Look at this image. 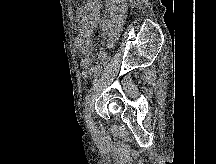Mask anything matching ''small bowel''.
Instances as JSON below:
<instances>
[{
	"instance_id": "small-bowel-1",
	"label": "small bowel",
	"mask_w": 216,
	"mask_h": 164,
	"mask_svg": "<svg viewBox=\"0 0 216 164\" xmlns=\"http://www.w3.org/2000/svg\"><path fill=\"white\" fill-rule=\"evenodd\" d=\"M107 9L110 13L109 19L101 17L100 0H86L77 10L79 34L75 41V48L83 55L82 63H92L93 42L90 37L99 23L109 31L110 42L114 40L125 17L126 0H107Z\"/></svg>"
}]
</instances>
